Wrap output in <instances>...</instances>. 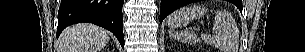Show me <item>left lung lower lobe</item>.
Wrapping results in <instances>:
<instances>
[{
  "label": "left lung lower lobe",
  "instance_id": "0a47b994",
  "mask_svg": "<svg viewBox=\"0 0 305 52\" xmlns=\"http://www.w3.org/2000/svg\"><path fill=\"white\" fill-rule=\"evenodd\" d=\"M196 1L198 0H162L160 8V22H162L167 15L172 13L177 8ZM237 7L242 9V3H240V5Z\"/></svg>",
  "mask_w": 305,
  "mask_h": 52
}]
</instances>
